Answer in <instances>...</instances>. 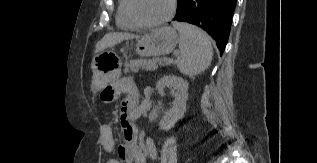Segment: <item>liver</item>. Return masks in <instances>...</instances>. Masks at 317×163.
Returning a JSON list of instances; mask_svg holds the SVG:
<instances>
[{"mask_svg": "<svg viewBox=\"0 0 317 163\" xmlns=\"http://www.w3.org/2000/svg\"><path fill=\"white\" fill-rule=\"evenodd\" d=\"M138 39L139 37L130 33H108L96 44L95 53L101 52L106 48L113 47L124 40Z\"/></svg>", "mask_w": 317, "mask_h": 163, "instance_id": "6515ba94", "label": "liver"}]
</instances>
